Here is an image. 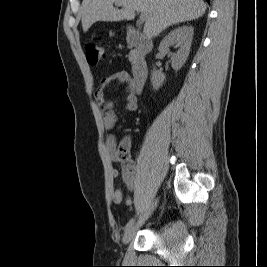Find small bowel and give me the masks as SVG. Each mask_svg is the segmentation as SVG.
I'll return each mask as SVG.
<instances>
[{"instance_id":"1","label":"small bowel","mask_w":267,"mask_h":267,"mask_svg":"<svg viewBox=\"0 0 267 267\" xmlns=\"http://www.w3.org/2000/svg\"><path fill=\"white\" fill-rule=\"evenodd\" d=\"M119 82L125 85L127 94L125 99V109L128 112H136L138 110V98L136 95L134 80L126 71H118L105 77L97 91L95 92V99L101 105L103 111V126L106 130L113 129L118 121V117L114 111V103L107 101L105 98V91L112 83ZM106 153L112 162H120L122 165V178L129 190H134L136 187V164L133 160L122 161L118 157L116 138L109 134L105 142ZM110 176L115 179L119 176V171L116 168L110 169ZM112 200L116 204L122 202L129 206L132 203L131 198H124L121 189H114L112 191Z\"/></svg>"}]
</instances>
